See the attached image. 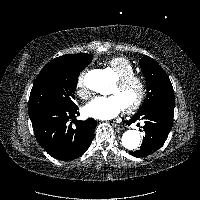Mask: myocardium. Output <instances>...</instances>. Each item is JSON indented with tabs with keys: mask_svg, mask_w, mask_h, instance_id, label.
I'll return each instance as SVG.
<instances>
[{
	"mask_svg": "<svg viewBox=\"0 0 200 200\" xmlns=\"http://www.w3.org/2000/svg\"><path fill=\"white\" fill-rule=\"evenodd\" d=\"M131 84H136L138 86L139 93H138L137 99L130 106H127L123 109L124 112L127 114H131L137 111L144 103V100L147 94L146 82L144 78L138 74H131V75L119 78L116 82V85L119 88H124Z\"/></svg>",
	"mask_w": 200,
	"mask_h": 200,
	"instance_id": "obj_1",
	"label": "myocardium"
}]
</instances>
